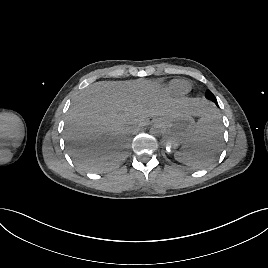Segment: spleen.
<instances>
[{"label":"spleen","instance_id":"3e777b00","mask_svg":"<svg viewBox=\"0 0 268 268\" xmlns=\"http://www.w3.org/2000/svg\"><path fill=\"white\" fill-rule=\"evenodd\" d=\"M213 109L201 118L195 131L187 139L183 151H177L174 157L177 161L193 168L207 166L213 161L220 150L222 125Z\"/></svg>","mask_w":268,"mask_h":268}]
</instances>
